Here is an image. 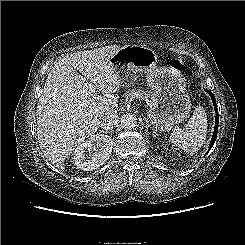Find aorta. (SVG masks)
Segmentation results:
<instances>
[{"label":"aorta","mask_w":245,"mask_h":245,"mask_svg":"<svg viewBox=\"0 0 245 245\" xmlns=\"http://www.w3.org/2000/svg\"><path fill=\"white\" fill-rule=\"evenodd\" d=\"M121 125L126 130L134 129L137 125V118L133 114H125L121 118Z\"/></svg>","instance_id":"1"}]
</instances>
